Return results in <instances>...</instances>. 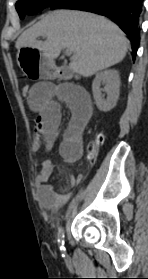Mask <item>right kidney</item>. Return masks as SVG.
Wrapping results in <instances>:
<instances>
[{"label": "right kidney", "instance_id": "obj_1", "mask_svg": "<svg viewBox=\"0 0 148 279\" xmlns=\"http://www.w3.org/2000/svg\"><path fill=\"white\" fill-rule=\"evenodd\" d=\"M101 84H104V89L107 93V98L102 95ZM120 77L118 71L114 69L105 70L98 73L92 83L93 97L96 106L100 111L108 112L113 109L119 98Z\"/></svg>", "mask_w": 148, "mask_h": 279}]
</instances>
